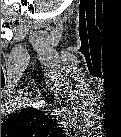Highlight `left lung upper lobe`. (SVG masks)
<instances>
[{
  "mask_svg": "<svg viewBox=\"0 0 121 137\" xmlns=\"http://www.w3.org/2000/svg\"><path fill=\"white\" fill-rule=\"evenodd\" d=\"M57 129L52 117L33 108L23 109L1 124L2 136H31L49 134Z\"/></svg>",
  "mask_w": 121,
  "mask_h": 137,
  "instance_id": "left-lung-upper-lobe-1",
  "label": "left lung upper lobe"
}]
</instances>
